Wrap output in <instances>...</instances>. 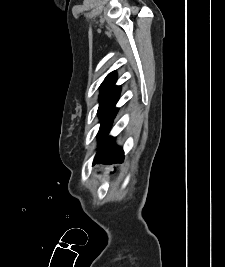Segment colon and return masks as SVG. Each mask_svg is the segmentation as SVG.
I'll use <instances>...</instances> for the list:
<instances>
[{
    "label": "colon",
    "mask_w": 225,
    "mask_h": 267,
    "mask_svg": "<svg viewBox=\"0 0 225 267\" xmlns=\"http://www.w3.org/2000/svg\"><path fill=\"white\" fill-rule=\"evenodd\" d=\"M108 170L107 169H101L97 172V176L100 180H105L108 176Z\"/></svg>",
    "instance_id": "5ec220e1"
}]
</instances>
